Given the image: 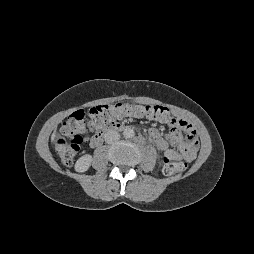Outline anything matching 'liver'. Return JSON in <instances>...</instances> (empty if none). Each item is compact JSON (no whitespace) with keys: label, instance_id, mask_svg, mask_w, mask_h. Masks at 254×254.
Wrapping results in <instances>:
<instances>
[{"label":"liver","instance_id":"liver-1","mask_svg":"<svg viewBox=\"0 0 254 254\" xmlns=\"http://www.w3.org/2000/svg\"><path fill=\"white\" fill-rule=\"evenodd\" d=\"M55 138H56V131H54V133L52 134V137H51L52 142L55 140Z\"/></svg>","mask_w":254,"mask_h":254}]
</instances>
